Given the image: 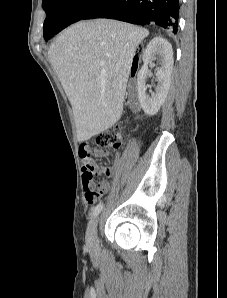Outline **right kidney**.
I'll return each instance as SVG.
<instances>
[{"instance_id":"1","label":"right kidney","mask_w":227,"mask_h":298,"mask_svg":"<svg viewBox=\"0 0 227 298\" xmlns=\"http://www.w3.org/2000/svg\"><path fill=\"white\" fill-rule=\"evenodd\" d=\"M156 57L161 66L156 72L158 85L155 93L150 97L146 94V78L149 75L148 64ZM142 59L144 65L137 75L138 99L145 114L153 116L164 103L170 87V77L174 63L172 46L163 37H155L147 45Z\"/></svg>"}]
</instances>
